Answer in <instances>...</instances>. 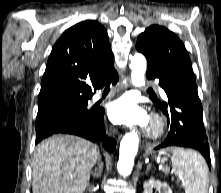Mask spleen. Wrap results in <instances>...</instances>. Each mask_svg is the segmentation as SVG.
Masks as SVG:
<instances>
[{
  "mask_svg": "<svg viewBox=\"0 0 221 193\" xmlns=\"http://www.w3.org/2000/svg\"><path fill=\"white\" fill-rule=\"evenodd\" d=\"M172 170L181 181L185 193H207L208 167L204 158L188 146H173Z\"/></svg>",
  "mask_w": 221,
  "mask_h": 193,
  "instance_id": "spleen-1",
  "label": "spleen"
}]
</instances>
